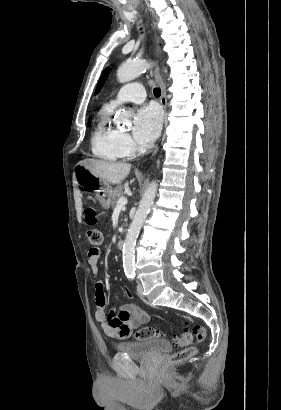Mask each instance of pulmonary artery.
I'll list each match as a JSON object with an SVG mask.
<instances>
[{"label": "pulmonary artery", "mask_w": 281, "mask_h": 410, "mask_svg": "<svg viewBox=\"0 0 281 410\" xmlns=\"http://www.w3.org/2000/svg\"><path fill=\"white\" fill-rule=\"evenodd\" d=\"M145 100V88L142 84L137 82H132L124 85L116 94V96L111 99L105 107L108 109H115L117 106L126 103L134 102L141 103Z\"/></svg>", "instance_id": "e3ab8cb5"}]
</instances>
